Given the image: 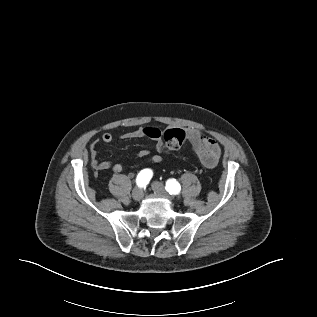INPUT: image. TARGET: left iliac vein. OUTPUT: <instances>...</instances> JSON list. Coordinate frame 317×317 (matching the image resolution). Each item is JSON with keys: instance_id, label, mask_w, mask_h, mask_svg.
Returning <instances> with one entry per match:
<instances>
[{"instance_id": "obj_1", "label": "left iliac vein", "mask_w": 317, "mask_h": 317, "mask_svg": "<svg viewBox=\"0 0 317 317\" xmlns=\"http://www.w3.org/2000/svg\"><path fill=\"white\" fill-rule=\"evenodd\" d=\"M151 187H152L154 192L163 195L164 197L168 198L169 200H172V197L170 195H168V193L166 192L165 187L162 183L155 181L151 184Z\"/></svg>"}]
</instances>
